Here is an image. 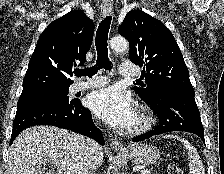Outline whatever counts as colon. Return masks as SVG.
I'll use <instances>...</instances> for the list:
<instances>
[{"label": "colon", "mask_w": 224, "mask_h": 174, "mask_svg": "<svg viewBox=\"0 0 224 174\" xmlns=\"http://www.w3.org/2000/svg\"><path fill=\"white\" fill-rule=\"evenodd\" d=\"M169 174H185V172L182 169H180L178 166L172 165L169 168Z\"/></svg>", "instance_id": "obj_1"}]
</instances>
